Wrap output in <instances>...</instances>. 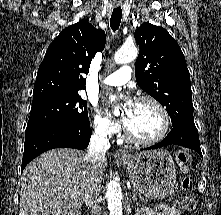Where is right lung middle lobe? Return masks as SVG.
Instances as JSON below:
<instances>
[{
	"label": "right lung middle lobe",
	"mask_w": 221,
	"mask_h": 215,
	"mask_svg": "<svg viewBox=\"0 0 221 215\" xmlns=\"http://www.w3.org/2000/svg\"><path fill=\"white\" fill-rule=\"evenodd\" d=\"M89 124L87 102L78 93L56 94L32 102L26 132L45 127L77 130Z\"/></svg>",
	"instance_id": "obj_1"
}]
</instances>
